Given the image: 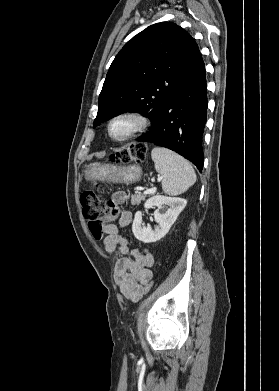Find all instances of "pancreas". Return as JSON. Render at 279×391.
Segmentation results:
<instances>
[{
	"mask_svg": "<svg viewBox=\"0 0 279 391\" xmlns=\"http://www.w3.org/2000/svg\"><path fill=\"white\" fill-rule=\"evenodd\" d=\"M145 197H146V195H142L140 193H135L131 197V204L134 206L139 205L141 203V201L145 200Z\"/></svg>",
	"mask_w": 279,
	"mask_h": 391,
	"instance_id": "obj_1",
	"label": "pancreas"
}]
</instances>
